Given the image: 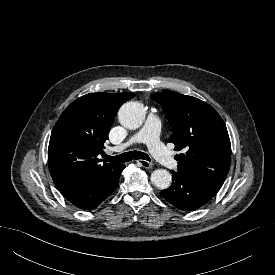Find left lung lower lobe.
<instances>
[{"instance_id":"1","label":"left lung lower lobe","mask_w":275,"mask_h":275,"mask_svg":"<svg viewBox=\"0 0 275 275\" xmlns=\"http://www.w3.org/2000/svg\"><path fill=\"white\" fill-rule=\"evenodd\" d=\"M172 185L161 195L178 209L195 210L206 204L220 189V185L203 178L171 171Z\"/></svg>"}]
</instances>
